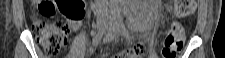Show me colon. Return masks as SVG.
Returning <instances> with one entry per match:
<instances>
[{
  "mask_svg": "<svg viewBox=\"0 0 225 58\" xmlns=\"http://www.w3.org/2000/svg\"><path fill=\"white\" fill-rule=\"evenodd\" d=\"M35 14L32 19L33 29L38 42L48 55H56L68 41V27L62 20H54L60 11L68 20L80 21L85 16V5L81 0L33 1ZM194 11L193 0L173 1V13L178 18L191 15ZM185 31L179 25H173L164 41L159 43L162 58H175L181 51ZM145 47L138 44L121 51L115 58H140Z\"/></svg>",
  "mask_w": 225,
  "mask_h": 58,
  "instance_id": "5ec220e1",
  "label": "colon"
}]
</instances>
